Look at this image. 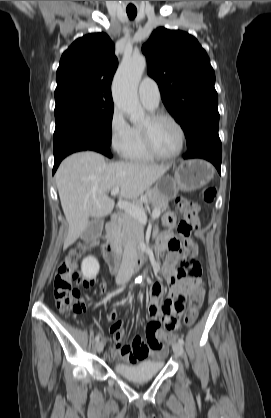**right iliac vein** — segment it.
<instances>
[{
  "label": "right iliac vein",
  "mask_w": 271,
  "mask_h": 418,
  "mask_svg": "<svg viewBox=\"0 0 271 418\" xmlns=\"http://www.w3.org/2000/svg\"><path fill=\"white\" fill-rule=\"evenodd\" d=\"M104 345H105V343H104V341L103 340H101V341H98L97 343H96V350H97V352H102L103 351V349H104Z\"/></svg>",
  "instance_id": "63e3f726"
}]
</instances>
